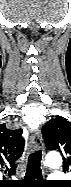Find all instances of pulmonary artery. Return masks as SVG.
I'll return each instance as SVG.
<instances>
[{
	"instance_id": "e3ab8cb5",
	"label": "pulmonary artery",
	"mask_w": 71,
	"mask_h": 187,
	"mask_svg": "<svg viewBox=\"0 0 71 187\" xmlns=\"http://www.w3.org/2000/svg\"><path fill=\"white\" fill-rule=\"evenodd\" d=\"M62 178V174L60 172H54L52 174H50L49 179L50 180H57V179H61Z\"/></svg>"
}]
</instances>
